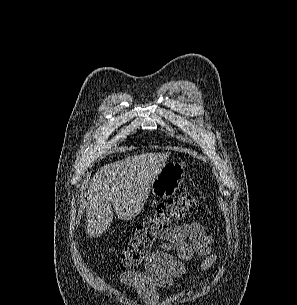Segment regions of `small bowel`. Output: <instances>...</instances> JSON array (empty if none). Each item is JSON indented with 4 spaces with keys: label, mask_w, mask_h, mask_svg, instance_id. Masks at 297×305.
Masks as SVG:
<instances>
[{
    "label": "small bowel",
    "mask_w": 297,
    "mask_h": 305,
    "mask_svg": "<svg viewBox=\"0 0 297 305\" xmlns=\"http://www.w3.org/2000/svg\"><path fill=\"white\" fill-rule=\"evenodd\" d=\"M212 246L213 238L201 223L182 222L163 231L160 249L146 258L144 272H121L120 282L153 305L158 299V288L171 286L175 279L184 276L185 263L195 254L204 256L199 272L211 268L218 258Z\"/></svg>",
    "instance_id": "1"
}]
</instances>
